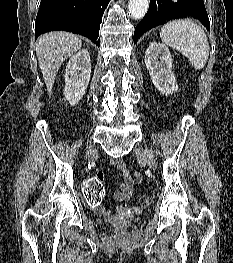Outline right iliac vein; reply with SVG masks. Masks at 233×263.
Returning a JSON list of instances; mask_svg holds the SVG:
<instances>
[{
	"label": "right iliac vein",
	"instance_id": "right-iliac-vein-1",
	"mask_svg": "<svg viewBox=\"0 0 233 263\" xmlns=\"http://www.w3.org/2000/svg\"><path fill=\"white\" fill-rule=\"evenodd\" d=\"M94 153V151H92V152H90V153H88V154H93Z\"/></svg>",
	"mask_w": 233,
	"mask_h": 263
}]
</instances>
